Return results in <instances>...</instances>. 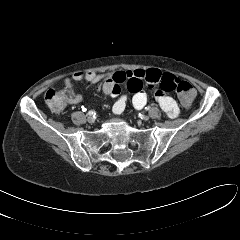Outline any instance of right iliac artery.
Segmentation results:
<instances>
[{
    "label": "right iliac artery",
    "instance_id": "82829eb1",
    "mask_svg": "<svg viewBox=\"0 0 240 240\" xmlns=\"http://www.w3.org/2000/svg\"><path fill=\"white\" fill-rule=\"evenodd\" d=\"M82 108H83L82 111H86V109H85L84 107H82ZM88 114H89V115H93L94 112H93V111H89Z\"/></svg>",
    "mask_w": 240,
    "mask_h": 240
}]
</instances>
